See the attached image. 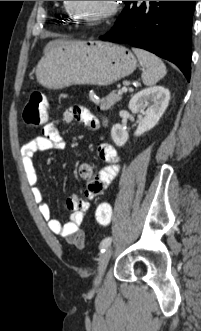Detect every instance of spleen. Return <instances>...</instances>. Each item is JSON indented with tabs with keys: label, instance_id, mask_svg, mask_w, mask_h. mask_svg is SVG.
<instances>
[{
	"label": "spleen",
	"instance_id": "obj_1",
	"mask_svg": "<svg viewBox=\"0 0 201 331\" xmlns=\"http://www.w3.org/2000/svg\"><path fill=\"white\" fill-rule=\"evenodd\" d=\"M132 51L136 54L141 66L145 68L141 77L146 86L156 84L166 75V66L158 56L135 47L132 48Z\"/></svg>",
	"mask_w": 201,
	"mask_h": 331
}]
</instances>
